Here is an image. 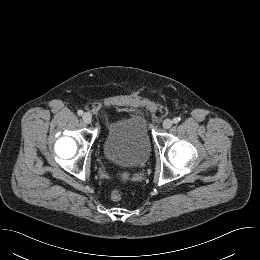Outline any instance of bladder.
<instances>
[{
	"mask_svg": "<svg viewBox=\"0 0 260 260\" xmlns=\"http://www.w3.org/2000/svg\"><path fill=\"white\" fill-rule=\"evenodd\" d=\"M102 151L105 159L115 165L143 166L151 153L146 120L139 114H132L110 122Z\"/></svg>",
	"mask_w": 260,
	"mask_h": 260,
	"instance_id": "31cf9c89",
	"label": "bladder"
}]
</instances>
